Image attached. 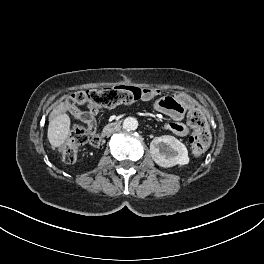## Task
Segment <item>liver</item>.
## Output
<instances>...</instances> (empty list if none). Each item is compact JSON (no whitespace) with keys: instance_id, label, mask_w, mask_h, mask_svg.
<instances>
[{"instance_id":"1","label":"liver","mask_w":264,"mask_h":264,"mask_svg":"<svg viewBox=\"0 0 264 264\" xmlns=\"http://www.w3.org/2000/svg\"><path fill=\"white\" fill-rule=\"evenodd\" d=\"M70 132V118L66 113H52L49 118L47 138L52 147L61 146Z\"/></svg>"}]
</instances>
